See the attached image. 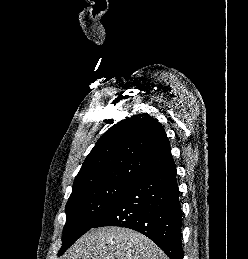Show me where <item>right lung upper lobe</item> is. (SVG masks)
<instances>
[{
    "label": "right lung upper lobe",
    "instance_id": "cb5924a9",
    "mask_svg": "<svg viewBox=\"0 0 248 259\" xmlns=\"http://www.w3.org/2000/svg\"><path fill=\"white\" fill-rule=\"evenodd\" d=\"M172 163L162 125L147 113L134 115L100 137L76 176L73 189L111 180L133 183Z\"/></svg>",
    "mask_w": 248,
    "mask_h": 259
}]
</instances>
